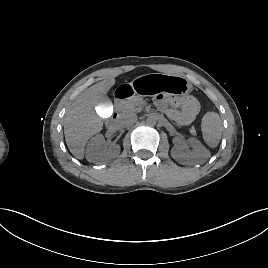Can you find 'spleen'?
I'll list each match as a JSON object with an SVG mask.
<instances>
[{"label": "spleen", "instance_id": "obj_1", "mask_svg": "<svg viewBox=\"0 0 268 268\" xmlns=\"http://www.w3.org/2000/svg\"><path fill=\"white\" fill-rule=\"evenodd\" d=\"M201 130L206 144L211 148L217 147L222 134V121L219 114L213 111L207 112L202 118Z\"/></svg>", "mask_w": 268, "mask_h": 268}]
</instances>
